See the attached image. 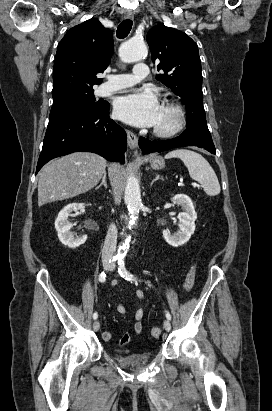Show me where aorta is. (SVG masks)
<instances>
[{
  "label": "aorta",
  "instance_id": "762f6f07",
  "mask_svg": "<svg viewBox=\"0 0 272 411\" xmlns=\"http://www.w3.org/2000/svg\"><path fill=\"white\" fill-rule=\"evenodd\" d=\"M147 54V47L144 41L130 39L121 45L119 49V56L125 63H131L143 59ZM124 200L127 205L130 221L129 228L135 224L138 219L139 211L142 207L141 192L138 179L129 173L124 191ZM128 240L118 250V260H123L128 249Z\"/></svg>",
  "mask_w": 272,
  "mask_h": 411
}]
</instances>
